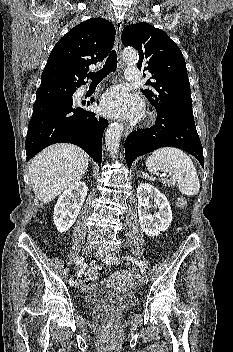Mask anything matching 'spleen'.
I'll return each instance as SVG.
<instances>
[{
    "label": "spleen",
    "mask_w": 233,
    "mask_h": 352,
    "mask_svg": "<svg viewBox=\"0 0 233 352\" xmlns=\"http://www.w3.org/2000/svg\"><path fill=\"white\" fill-rule=\"evenodd\" d=\"M147 170L152 174L158 171L171 175L170 185L178 183L179 190L187 196L197 195L200 182L196 168L190 157L180 149L163 147L155 150L146 160Z\"/></svg>",
    "instance_id": "3e777b00"
}]
</instances>
